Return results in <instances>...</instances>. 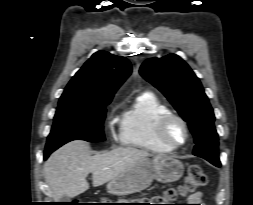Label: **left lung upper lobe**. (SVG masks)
<instances>
[{
  "label": "left lung upper lobe",
  "instance_id": "obj_1",
  "mask_svg": "<svg viewBox=\"0 0 253 205\" xmlns=\"http://www.w3.org/2000/svg\"><path fill=\"white\" fill-rule=\"evenodd\" d=\"M140 74L168 98L188 123L195 139L193 154L220 166L213 109L187 63L175 54L151 58L142 64Z\"/></svg>",
  "mask_w": 253,
  "mask_h": 205
}]
</instances>
